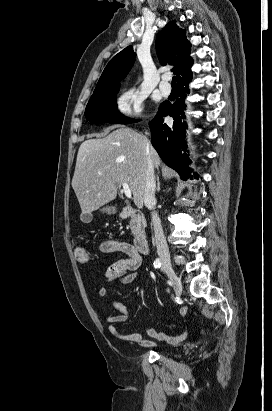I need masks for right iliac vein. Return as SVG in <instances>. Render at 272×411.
Wrapping results in <instances>:
<instances>
[{
    "mask_svg": "<svg viewBox=\"0 0 272 411\" xmlns=\"http://www.w3.org/2000/svg\"><path fill=\"white\" fill-rule=\"evenodd\" d=\"M162 268H163V271L168 275L169 279L171 280V283L173 284L176 294L180 295L183 289L182 284L176 272L174 271L171 263L168 261H163Z\"/></svg>",
    "mask_w": 272,
    "mask_h": 411,
    "instance_id": "right-iliac-vein-1",
    "label": "right iliac vein"
}]
</instances>
